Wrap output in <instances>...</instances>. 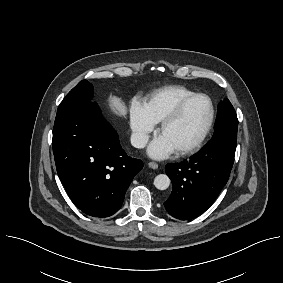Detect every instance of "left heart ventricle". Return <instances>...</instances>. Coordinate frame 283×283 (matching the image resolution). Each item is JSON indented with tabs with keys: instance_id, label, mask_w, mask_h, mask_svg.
Listing matches in <instances>:
<instances>
[{
	"instance_id": "left-heart-ventricle-1",
	"label": "left heart ventricle",
	"mask_w": 283,
	"mask_h": 283,
	"mask_svg": "<svg viewBox=\"0 0 283 283\" xmlns=\"http://www.w3.org/2000/svg\"><path fill=\"white\" fill-rule=\"evenodd\" d=\"M210 103L206 98L192 101L174 123L160 136L170 143L175 151L193 144L203 133L209 117Z\"/></svg>"
}]
</instances>
